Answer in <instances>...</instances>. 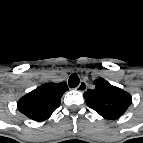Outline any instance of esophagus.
<instances>
[{"label": "esophagus", "instance_id": "1", "mask_svg": "<svg viewBox=\"0 0 143 143\" xmlns=\"http://www.w3.org/2000/svg\"><path fill=\"white\" fill-rule=\"evenodd\" d=\"M87 88V84L85 81H81L80 84L77 87V90L80 92H84Z\"/></svg>", "mask_w": 143, "mask_h": 143}]
</instances>
